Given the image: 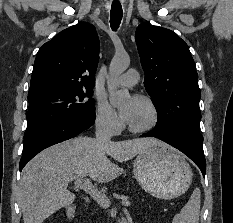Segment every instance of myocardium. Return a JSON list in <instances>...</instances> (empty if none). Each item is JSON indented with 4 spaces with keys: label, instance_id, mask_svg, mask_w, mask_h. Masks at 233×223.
<instances>
[{
    "label": "myocardium",
    "instance_id": "myocardium-1",
    "mask_svg": "<svg viewBox=\"0 0 233 223\" xmlns=\"http://www.w3.org/2000/svg\"><path fill=\"white\" fill-rule=\"evenodd\" d=\"M137 98L141 99L142 101H144L148 105V107L150 108L152 115H153V122L151 123L150 126H148L146 128H135L129 124L128 130L133 134L144 135V134H147V133L154 131L155 129H157L159 127V125L161 123V114H160V110H159L158 106L150 97H148L146 95H138Z\"/></svg>",
    "mask_w": 233,
    "mask_h": 223
}]
</instances>
